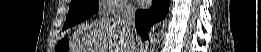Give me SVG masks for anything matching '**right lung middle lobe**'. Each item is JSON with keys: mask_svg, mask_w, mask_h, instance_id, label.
I'll list each match as a JSON object with an SVG mask.
<instances>
[{"mask_svg": "<svg viewBox=\"0 0 261 52\" xmlns=\"http://www.w3.org/2000/svg\"><path fill=\"white\" fill-rule=\"evenodd\" d=\"M97 11V0H71L63 30L82 22Z\"/></svg>", "mask_w": 261, "mask_h": 52, "instance_id": "right-lung-middle-lobe-1", "label": "right lung middle lobe"}]
</instances>
